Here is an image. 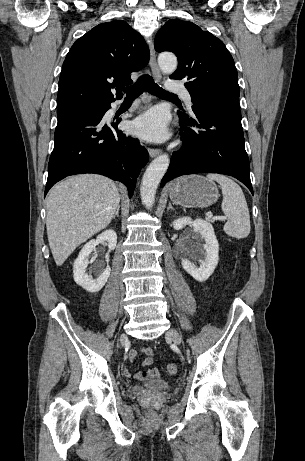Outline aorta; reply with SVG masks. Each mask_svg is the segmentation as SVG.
<instances>
[{"mask_svg": "<svg viewBox=\"0 0 305 461\" xmlns=\"http://www.w3.org/2000/svg\"><path fill=\"white\" fill-rule=\"evenodd\" d=\"M158 64L162 72L171 74L177 68V58L171 53H163L158 57ZM169 163L168 155H160L150 163L143 175L140 195L143 204L148 208H151L155 202L157 187L166 173Z\"/></svg>", "mask_w": 305, "mask_h": 461, "instance_id": "obj_1", "label": "aorta"}]
</instances>
